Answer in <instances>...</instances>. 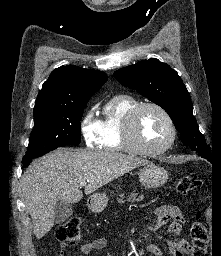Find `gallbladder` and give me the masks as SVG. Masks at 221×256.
Here are the masks:
<instances>
[{
  "mask_svg": "<svg viewBox=\"0 0 221 256\" xmlns=\"http://www.w3.org/2000/svg\"><path fill=\"white\" fill-rule=\"evenodd\" d=\"M72 206L67 203L59 202L55 206V223L60 224L72 215Z\"/></svg>",
  "mask_w": 221,
  "mask_h": 256,
  "instance_id": "obj_1",
  "label": "gallbladder"
}]
</instances>
